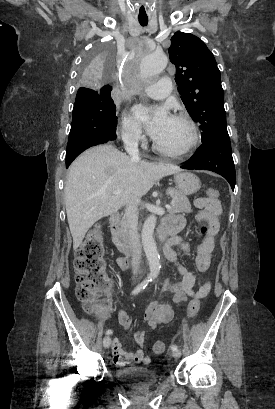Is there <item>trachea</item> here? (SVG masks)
<instances>
[{
  "label": "trachea",
  "instance_id": "3493384b",
  "mask_svg": "<svg viewBox=\"0 0 275 409\" xmlns=\"http://www.w3.org/2000/svg\"><path fill=\"white\" fill-rule=\"evenodd\" d=\"M139 23H140V25H141L142 27H145V26L148 24V19H143V20H140V19H139Z\"/></svg>",
  "mask_w": 275,
  "mask_h": 409
}]
</instances>
